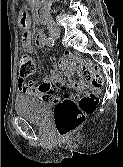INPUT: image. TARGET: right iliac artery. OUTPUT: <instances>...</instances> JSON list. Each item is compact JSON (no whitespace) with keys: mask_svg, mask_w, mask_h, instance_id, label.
<instances>
[{"mask_svg":"<svg viewBox=\"0 0 123 167\" xmlns=\"http://www.w3.org/2000/svg\"><path fill=\"white\" fill-rule=\"evenodd\" d=\"M45 43H46L47 46L52 47V46H54L55 41H54L53 38L48 37V38L45 39Z\"/></svg>","mask_w":123,"mask_h":167,"instance_id":"obj_1","label":"right iliac artery"}]
</instances>
